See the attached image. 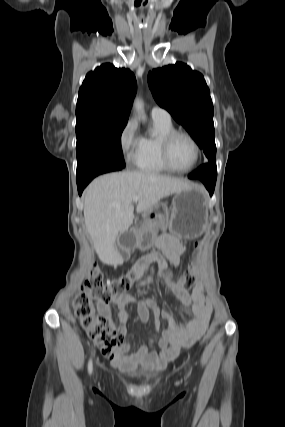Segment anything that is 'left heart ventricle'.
<instances>
[{
  "label": "left heart ventricle",
  "mask_w": 285,
  "mask_h": 427,
  "mask_svg": "<svg viewBox=\"0 0 285 427\" xmlns=\"http://www.w3.org/2000/svg\"><path fill=\"white\" fill-rule=\"evenodd\" d=\"M195 149L191 141L184 137H176L170 147V161L177 169H186L194 161Z\"/></svg>",
  "instance_id": "left-heart-ventricle-1"
}]
</instances>
